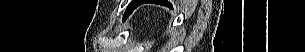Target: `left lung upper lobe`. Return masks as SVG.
I'll use <instances>...</instances> for the list:
<instances>
[{
	"label": "left lung upper lobe",
	"mask_w": 305,
	"mask_h": 52,
	"mask_svg": "<svg viewBox=\"0 0 305 52\" xmlns=\"http://www.w3.org/2000/svg\"><path fill=\"white\" fill-rule=\"evenodd\" d=\"M137 2H139V0H132L131 3L128 5L125 14H124V18H127L134 9H136L139 5L137 4ZM154 3V1H147V3Z\"/></svg>",
	"instance_id": "5c2ea615"
}]
</instances>
